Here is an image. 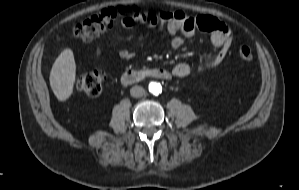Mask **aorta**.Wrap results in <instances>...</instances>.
I'll use <instances>...</instances> for the list:
<instances>
[{
	"label": "aorta",
	"instance_id": "762f6f07",
	"mask_svg": "<svg viewBox=\"0 0 299 190\" xmlns=\"http://www.w3.org/2000/svg\"><path fill=\"white\" fill-rule=\"evenodd\" d=\"M149 91L153 94V95H159L162 92V86L160 83L157 82H151L149 84Z\"/></svg>",
	"mask_w": 299,
	"mask_h": 190
}]
</instances>
